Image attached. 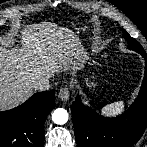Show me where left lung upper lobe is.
I'll return each instance as SVG.
<instances>
[{
    "instance_id": "1",
    "label": "left lung upper lobe",
    "mask_w": 147,
    "mask_h": 147,
    "mask_svg": "<svg viewBox=\"0 0 147 147\" xmlns=\"http://www.w3.org/2000/svg\"><path fill=\"white\" fill-rule=\"evenodd\" d=\"M126 40L129 44L128 45L129 49L137 51L138 53L145 52L144 49L142 48V46L140 45V43L138 41H136L134 38L127 36Z\"/></svg>"
}]
</instances>
